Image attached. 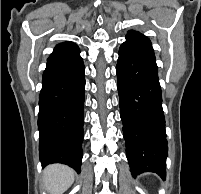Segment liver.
Segmentation results:
<instances>
[{"instance_id":"6515ba94","label":"liver","mask_w":201,"mask_h":194,"mask_svg":"<svg viewBox=\"0 0 201 194\" xmlns=\"http://www.w3.org/2000/svg\"><path fill=\"white\" fill-rule=\"evenodd\" d=\"M74 176V171L65 165H49L43 172L44 188L50 194H63L74 182Z\"/></svg>"}]
</instances>
